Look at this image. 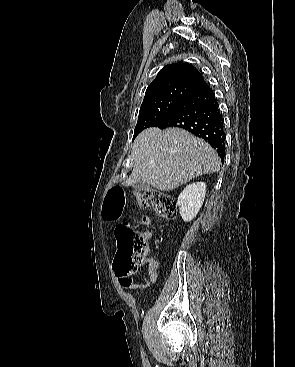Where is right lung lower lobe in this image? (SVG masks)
Here are the masks:
<instances>
[{"label":"right lung lower lobe","instance_id":"right-lung-lower-lobe-1","mask_svg":"<svg viewBox=\"0 0 295 367\" xmlns=\"http://www.w3.org/2000/svg\"><path fill=\"white\" fill-rule=\"evenodd\" d=\"M160 129L179 127L203 138L218 153L225 156L223 118L212 89L205 85L196 90L169 116L155 125Z\"/></svg>","mask_w":295,"mask_h":367}]
</instances>
